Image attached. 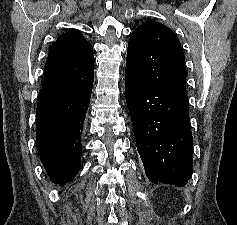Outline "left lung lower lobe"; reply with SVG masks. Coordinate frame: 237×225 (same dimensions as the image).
I'll use <instances>...</instances> for the list:
<instances>
[{
	"instance_id": "1",
	"label": "left lung lower lobe",
	"mask_w": 237,
	"mask_h": 225,
	"mask_svg": "<svg viewBox=\"0 0 237 225\" xmlns=\"http://www.w3.org/2000/svg\"><path fill=\"white\" fill-rule=\"evenodd\" d=\"M125 97L148 179L178 187L186 185L193 170V138L186 90L141 85L126 72Z\"/></svg>"
}]
</instances>
